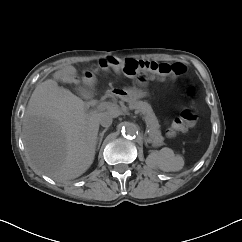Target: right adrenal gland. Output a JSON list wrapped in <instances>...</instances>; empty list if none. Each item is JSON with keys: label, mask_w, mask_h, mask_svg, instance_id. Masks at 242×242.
Segmentation results:
<instances>
[{"label": "right adrenal gland", "mask_w": 242, "mask_h": 242, "mask_svg": "<svg viewBox=\"0 0 242 242\" xmlns=\"http://www.w3.org/2000/svg\"><path fill=\"white\" fill-rule=\"evenodd\" d=\"M108 130V128H105L102 132L99 133L98 137H97V144H98V149L100 148V145L102 143L103 140V136L105 134V132Z\"/></svg>", "instance_id": "obj_1"}]
</instances>
